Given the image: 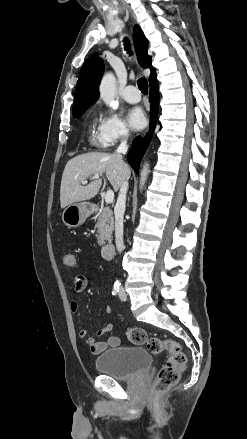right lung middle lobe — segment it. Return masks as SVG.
<instances>
[{"label":"right lung middle lobe","mask_w":247,"mask_h":439,"mask_svg":"<svg viewBox=\"0 0 247 439\" xmlns=\"http://www.w3.org/2000/svg\"><path fill=\"white\" fill-rule=\"evenodd\" d=\"M85 111H86V110H81V111H79V112H77V113H74L73 116L78 118V117L81 116Z\"/></svg>","instance_id":"obj_1"}]
</instances>
